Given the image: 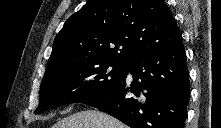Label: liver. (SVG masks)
Returning a JSON list of instances; mask_svg holds the SVG:
<instances>
[{"instance_id": "liver-1", "label": "liver", "mask_w": 221, "mask_h": 128, "mask_svg": "<svg viewBox=\"0 0 221 128\" xmlns=\"http://www.w3.org/2000/svg\"><path fill=\"white\" fill-rule=\"evenodd\" d=\"M52 128H127V126L101 111L86 110L62 119Z\"/></svg>"}]
</instances>
